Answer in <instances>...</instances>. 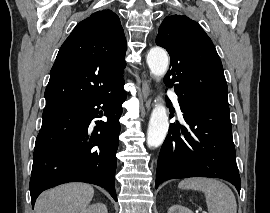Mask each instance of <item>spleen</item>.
Here are the masks:
<instances>
[{"label":"spleen","instance_id":"3e777b00","mask_svg":"<svg viewBox=\"0 0 270 213\" xmlns=\"http://www.w3.org/2000/svg\"><path fill=\"white\" fill-rule=\"evenodd\" d=\"M178 187L196 190L205 194L208 213H237L236 198L223 182L213 178H187Z\"/></svg>","mask_w":270,"mask_h":213}]
</instances>
